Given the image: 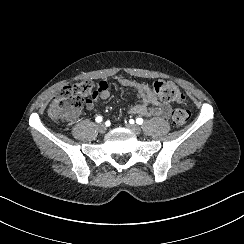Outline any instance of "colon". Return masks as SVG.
<instances>
[{
  "instance_id": "colon-1",
  "label": "colon",
  "mask_w": 244,
  "mask_h": 244,
  "mask_svg": "<svg viewBox=\"0 0 244 244\" xmlns=\"http://www.w3.org/2000/svg\"><path fill=\"white\" fill-rule=\"evenodd\" d=\"M152 91L160 98L179 103L184 100L180 88L171 81L156 80L151 84ZM97 95L96 84L89 80H79L63 87L54 98L48 109V115L55 122H62L71 118L75 111L80 109L87 101ZM172 121L175 125H184L189 118V113L184 109H175L172 112Z\"/></svg>"
}]
</instances>
